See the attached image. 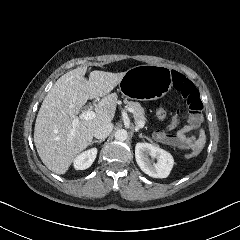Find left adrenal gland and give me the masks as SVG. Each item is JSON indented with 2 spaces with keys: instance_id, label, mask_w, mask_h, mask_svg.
Returning a JSON list of instances; mask_svg holds the SVG:
<instances>
[{
  "instance_id": "a2214340",
  "label": "left adrenal gland",
  "mask_w": 240,
  "mask_h": 240,
  "mask_svg": "<svg viewBox=\"0 0 240 240\" xmlns=\"http://www.w3.org/2000/svg\"><path fill=\"white\" fill-rule=\"evenodd\" d=\"M140 137H141V138H145V136H143L142 134H140Z\"/></svg>"
}]
</instances>
